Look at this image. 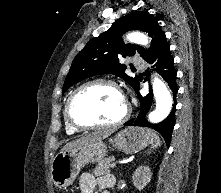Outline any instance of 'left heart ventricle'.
Instances as JSON below:
<instances>
[{
  "label": "left heart ventricle",
  "instance_id": "obj_1",
  "mask_svg": "<svg viewBox=\"0 0 221 193\" xmlns=\"http://www.w3.org/2000/svg\"><path fill=\"white\" fill-rule=\"evenodd\" d=\"M125 110V100L115 89L94 85L83 89L74 99L72 115L84 125L108 123L119 119Z\"/></svg>",
  "mask_w": 221,
  "mask_h": 193
}]
</instances>
